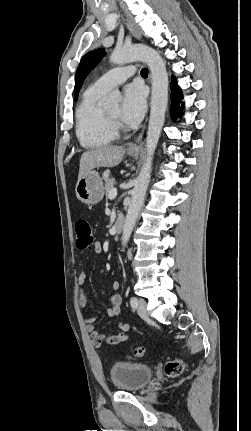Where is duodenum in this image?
<instances>
[{
    "instance_id": "duodenum-1",
    "label": "duodenum",
    "mask_w": 251,
    "mask_h": 431,
    "mask_svg": "<svg viewBox=\"0 0 251 431\" xmlns=\"http://www.w3.org/2000/svg\"><path fill=\"white\" fill-rule=\"evenodd\" d=\"M123 227H124V217L123 215L119 214L114 223V230L118 234L123 230Z\"/></svg>"
}]
</instances>
